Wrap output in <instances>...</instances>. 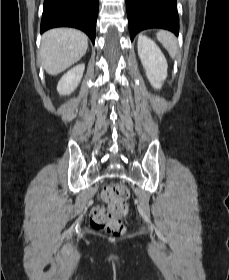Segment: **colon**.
Returning <instances> with one entry per match:
<instances>
[{
    "label": "colon",
    "instance_id": "1",
    "mask_svg": "<svg viewBox=\"0 0 229 280\" xmlns=\"http://www.w3.org/2000/svg\"><path fill=\"white\" fill-rule=\"evenodd\" d=\"M102 198L109 207L98 205L91 211L90 221L93 228L107 229L111 232L121 233L124 230L122 217L127 214V199L129 191L123 184H108L102 190Z\"/></svg>",
    "mask_w": 229,
    "mask_h": 280
}]
</instances>
